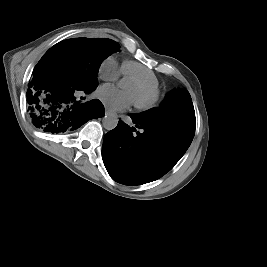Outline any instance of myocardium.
Instances as JSON below:
<instances>
[{"label":"myocardium","mask_w":267,"mask_h":267,"mask_svg":"<svg viewBox=\"0 0 267 267\" xmlns=\"http://www.w3.org/2000/svg\"><path fill=\"white\" fill-rule=\"evenodd\" d=\"M129 81L133 82L139 87H143L147 90V95L144 99H134V105L139 108V109H148L152 107L157 99H158V94L155 93L154 91L150 90L147 85H145L141 80L139 79H131L129 78Z\"/></svg>","instance_id":"1"}]
</instances>
